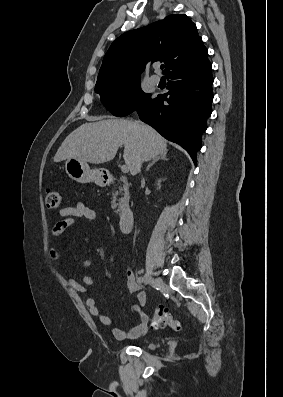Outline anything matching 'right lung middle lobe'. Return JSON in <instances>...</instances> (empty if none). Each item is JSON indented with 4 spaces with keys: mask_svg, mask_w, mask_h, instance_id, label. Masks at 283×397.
<instances>
[{
    "mask_svg": "<svg viewBox=\"0 0 283 397\" xmlns=\"http://www.w3.org/2000/svg\"><path fill=\"white\" fill-rule=\"evenodd\" d=\"M95 92L102 103L115 116L123 117L146 103L150 94L140 89V77L97 81Z\"/></svg>",
    "mask_w": 283,
    "mask_h": 397,
    "instance_id": "1",
    "label": "right lung middle lobe"
}]
</instances>
